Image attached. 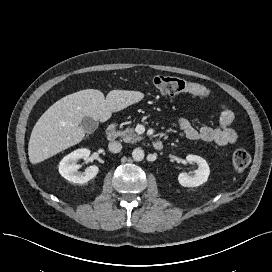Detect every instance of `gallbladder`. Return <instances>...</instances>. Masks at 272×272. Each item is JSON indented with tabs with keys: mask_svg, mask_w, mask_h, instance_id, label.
Wrapping results in <instances>:
<instances>
[{
	"mask_svg": "<svg viewBox=\"0 0 272 272\" xmlns=\"http://www.w3.org/2000/svg\"><path fill=\"white\" fill-rule=\"evenodd\" d=\"M98 125V121L89 116H84L81 122V126L86 133H93L97 129Z\"/></svg>",
	"mask_w": 272,
	"mask_h": 272,
	"instance_id": "gallbladder-1",
	"label": "gallbladder"
}]
</instances>
